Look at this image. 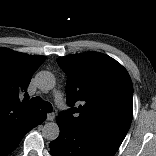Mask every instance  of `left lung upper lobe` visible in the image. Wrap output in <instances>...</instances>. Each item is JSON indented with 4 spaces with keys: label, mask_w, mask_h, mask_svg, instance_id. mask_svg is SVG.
I'll return each instance as SVG.
<instances>
[{
    "label": "left lung upper lobe",
    "mask_w": 156,
    "mask_h": 156,
    "mask_svg": "<svg viewBox=\"0 0 156 156\" xmlns=\"http://www.w3.org/2000/svg\"><path fill=\"white\" fill-rule=\"evenodd\" d=\"M57 63L67 75V104L81 103L60 116L78 130L121 144L133 114V85L126 69L98 52L59 57Z\"/></svg>",
    "instance_id": "1"
}]
</instances>
